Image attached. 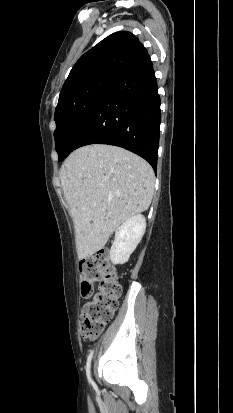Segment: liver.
Here are the masks:
<instances>
[{
    "mask_svg": "<svg viewBox=\"0 0 233 413\" xmlns=\"http://www.w3.org/2000/svg\"><path fill=\"white\" fill-rule=\"evenodd\" d=\"M60 178L74 221L79 259L102 249L120 224L147 210L154 193L150 164L110 145L75 150L63 163Z\"/></svg>",
    "mask_w": 233,
    "mask_h": 413,
    "instance_id": "liver-1",
    "label": "liver"
}]
</instances>
